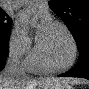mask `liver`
Instances as JSON below:
<instances>
[{"label": "liver", "mask_w": 89, "mask_h": 89, "mask_svg": "<svg viewBox=\"0 0 89 89\" xmlns=\"http://www.w3.org/2000/svg\"><path fill=\"white\" fill-rule=\"evenodd\" d=\"M79 79L70 78H46L39 80H30L25 75H11L5 70L0 75L1 89H42L56 87L58 85H69L82 83Z\"/></svg>", "instance_id": "liver-1"}]
</instances>
